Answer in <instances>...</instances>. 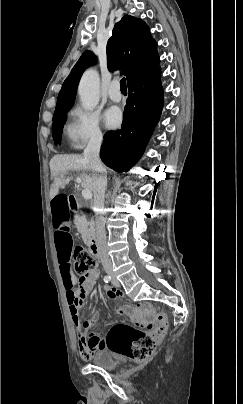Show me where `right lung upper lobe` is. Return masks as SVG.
Returning a JSON list of instances; mask_svg holds the SVG:
<instances>
[{
  "label": "right lung upper lobe",
  "instance_id": "1",
  "mask_svg": "<svg viewBox=\"0 0 243 404\" xmlns=\"http://www.w3.org/2000/svg\"><path fill=\"white\" fill-rule=\"evenodd\" d=\"M157 43L145 22L125 15L115 24L107 43V64L110 71L122 70L128 84L151 73L159 65ZM95 57L85 51L65 79L59 92L55 112L72 107L77 85L84 70L94 64Z\"/></svg>",
  "mask_w": 243,
  "mask_h": 404
}]
</instances>
